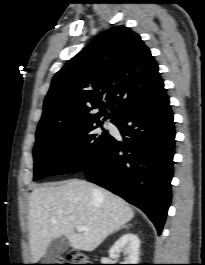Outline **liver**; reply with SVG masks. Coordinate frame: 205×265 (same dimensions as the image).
I'll return each instance as SVG.
<instances>
[{
    "label": "liver",
    "mask_w": 205,
    "mask_h": 265,
    "mask_svg": "<svg viewBox=\"0 0 205 265\" xmlns=\"http://www.w3.org/2000/svg\"><path fill=\"white\" fill-rule=\"evenodd\" d=\"M28 206L33 262L44 256L53 239L62 236L74 250L93 251L134 217L133 209L122 198L79 179L35 188ZM77 226L88 231L76 232Z\"/></svg>",
    "instance_id": "6515ba94"
}]
</instances>
